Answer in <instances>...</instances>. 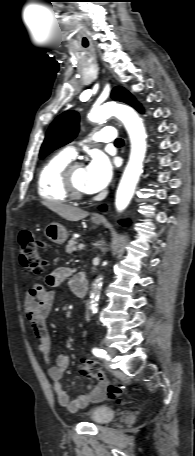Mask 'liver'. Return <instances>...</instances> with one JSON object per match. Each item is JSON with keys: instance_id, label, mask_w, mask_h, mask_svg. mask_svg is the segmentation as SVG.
<instances>
[{"instance_id": "liver-1", "label": "liver", "mask_w": 195, "mask_h": 456, "mask_svg": "<svg viewBox=\"0 0 195 456\" xmlns=\"http://www.w3.org/2000/svg\"><path fill=\"white\" fill-rule=\"evenodd\" d=\"M42 204L68 221H79L89 215L87 211L61 202L43 201Z\"/></svg>"}]
</instances>
